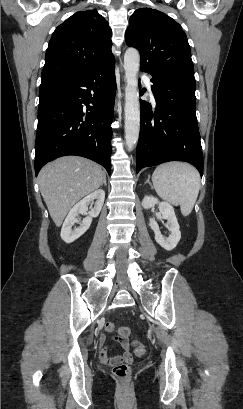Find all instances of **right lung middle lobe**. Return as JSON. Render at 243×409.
Listing matches in <instances>:
<instances>
[{
    "label": "right lung middle lobe",
    "instance_id": "dd1d6c3e",
    "mask_svg": "<svg viewBox=\"0 0 243 409\" xmlns=\"http://www.w3.org/2000/svg\"><path fill=\"white\" fill-rule=\"evenodd\" d=\"M57 81H60V80H58V79L42 80L40 86L48 85V84H51V83H54V82H57Z\"/></svg>",
    "mask_w": 243,
    "mask_h": 409
}]
</instances>
